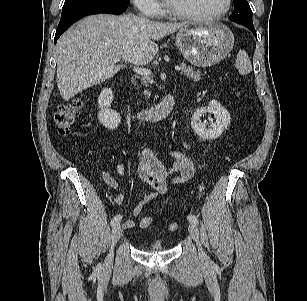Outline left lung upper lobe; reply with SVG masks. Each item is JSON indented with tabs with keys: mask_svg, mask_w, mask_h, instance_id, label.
Segmentation results:
<instances>
[{
	"mask_svg": "<svg viewBox=\"0 0 307 301\" xmlns=\"http://www.w3.org/2000/svg\"><path fill=\"white\" fill-rule=\"evenodd\" d=\"M234 11L229 17L231 21L239 24L253 25L252 21V10L247 0H233Z\"/></svg>",
	"mask_w": 307,
	"mask_h": 301,
	"instance_id": "obj_1",
	"label": "left lung upper lobe"
}]
</instances>
